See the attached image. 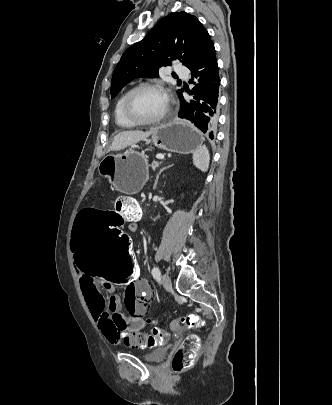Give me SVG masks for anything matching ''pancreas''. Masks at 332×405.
I'll list each match as a JSON object with an SVG mask.
<instances>
[{"mask_svg":"<svg viewBox=\"0 0 332 405\" xmlns=\"http://www.w3.org/2000/svg\"><path fill=\"white\" fill-rule=\"evenodd\" d=\"M158 166H159V163H158L157 161H154V162L151 164V167H152L153 169L157 168Z\"/></svg>","mask_w":332,"mask_h":405,"instance_id":"obj_1","label":"pancreas"}]
</instances>
